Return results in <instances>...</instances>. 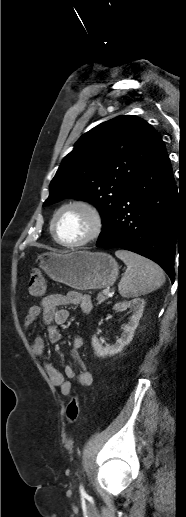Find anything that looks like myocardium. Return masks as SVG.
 I'll return each mask as SVG.
<instances>
[{"label":"myocardium","instance_id":"1","mask_svg":"<svg viewBox=\"0 0 186 517\" xmlns=\"http://www.w3.org/2000/svg\"><path fill=\"white\" fill-rule=\"evenodd\" d=\"M69 208H79L85 211L91 220V227L86 236H84L81 240L77 242H64L59 239L57 233H56V222L59 217V215L66 209ZM104 226V220L103 216L100 212V210L91 202L83 199H75L72 201H69L62 206H60L56 212L54 213L51 224H50V230L51 234L54 238V240L61 246L66 248H79L82 247L92 241H94L102 232Z\"/></svg>","mask_w":186,"mask_h":517}]
</instances>
